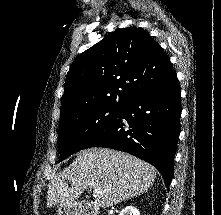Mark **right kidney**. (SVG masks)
Wrapping results in <instances>:
<instances>
[{
	"instance_id": "obj_1",
	"label": "right kidney",
	"mask_w": 221,
	"mask_h": 215,
	"mask_svg": "<svg viewBox=\"0 0 221 215\" xmlns=\"http://www.w3.org/2000/svg\"><path fill=\"white\" fill-rule=\"evenodd\" d=\"M119 215H140V212L137 208L133 206H127L123 210H121Z\"/></svg>"
}]
</instances>
